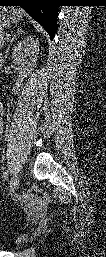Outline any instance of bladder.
<instances>
[{"label": "bladder", "mask_w": 106, "mask_h": 257, "mask_svg": "<svg viewBox=\"0 0 106 257\" xmlns=\"http://www.w3.org/2000/svg\"><path fill=\"white\" fill-rule=\"evenodd\" d=\"M27 240H28L27 236L21 235L15 239L14 244L16 247H19V246L23 245L25 242H27Z\"/></svg>", "instance_id": "bladder-1"}]
</instances>
